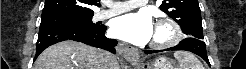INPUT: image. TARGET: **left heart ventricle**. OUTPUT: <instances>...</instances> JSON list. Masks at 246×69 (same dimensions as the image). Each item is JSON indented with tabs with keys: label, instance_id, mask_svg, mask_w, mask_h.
Returning a JSON list of instances; mask_svg holds the SVG:
<instances>
[{
	"label": "left heart ventricle",
	"instance_id": "1",
	"mask_svg": "<svg viewBox=\"0 0 246 69\" xmlns=\"http://www.w3.org/2000/svg\"><path fill=\"white\" fill-rule=\"evenodd\" d=\"M168 37V31L165 28H156L153 35V40H164Z\"/></svg>",
	"mask_w": 246,
	"mask_h": 69
}]
</instances>
